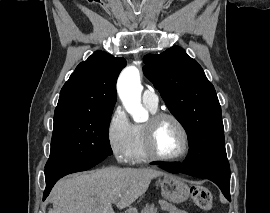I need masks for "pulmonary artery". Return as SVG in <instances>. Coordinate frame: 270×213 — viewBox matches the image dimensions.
I'll list each match as a JSON object with an SVG mask.
<instances>
[{
	"label": "pulmonary artery",
	"instance_id": "1",
	"mask_svg": "<svg viewBox=\"0 0 270 213\" xmlns=\"http://www.w3.org/2000/svg\"><path fill=\"white\" fill-rule=\"evenodd\" d=\"M142 100L144 104L150 106L151 108L158 107V97L153 90L146 89L142 94Z\"/></svg>",
	"mask_w": 270,
	"mask_h": 213
}]
</instances>
